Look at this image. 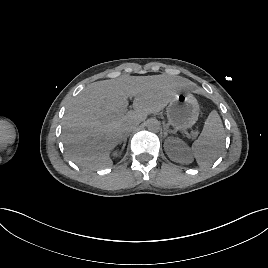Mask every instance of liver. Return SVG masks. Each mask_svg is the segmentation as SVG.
<instances>
[{"instance_id": "1", "label": "liver", "mask_w": 268, "mask_h": 268, "mask_svg": "<svg viewBox=\"0 0 268 268\" xmlns=\"http://www.w3.org/2000/svg\"><path fill=\"white\" fill-rule=\"evenodd\" d=\"M190 85L184 78L167 75H122L89 84L67 106L63 117L62 139L70 159L86 169L112 166L110 153L123 138L122 125H139ZM131 97L134 110L118 115ZM112 115L116 117L109 119Z\"/></svg>"}]
</instances>
